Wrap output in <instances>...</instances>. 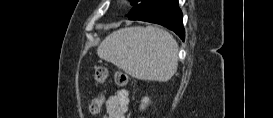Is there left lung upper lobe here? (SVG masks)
<instances>
[{"instance_id": "left-lung-upper-lobe-1", "label": "left lung upper lobe", "mask_w": 273, "mask_h": 118, "mask_svg": "<svg viewBox=\"0 0 273 118\" xmlns=\"http://www.w3.org/2000/svg\"><path fill=\"white\" fill-rule=\"evenodd\" d=\"M167 0H131L132 10L127 17L130 20H141L156 12Z\"/></svg>"}]
</instances>
